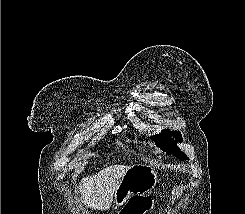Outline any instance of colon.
Here are the masks:
<instances>
[{
	"mask_svg": "<svg viewBox=\"0 0 245 214\" xmlns=\"http://www.w3.org/2000/svg\"><path fill=\"white\" fill-rule=\"evenodd\" d=\"M150 200L146 198H133L120 214H144L150 208Z\"/></svg>",
	"mask_w": 245,
	"mask_h": 214,
	"instance_id": "colon-1",
	"label": "colon"
}]
</instances>
